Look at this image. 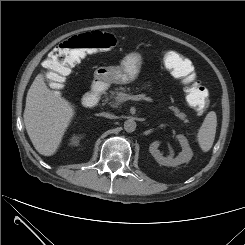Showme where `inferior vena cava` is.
<instances>
[{"instance_id": "obj_1", "label": "inferior vena cava", "mask_w": 245, "mask_h": 245, "mask_svg": "<svg viewBox=\"0 0 245 245\" xmlns=\"http://www.w3.org/2000/svg\"><path fill=\"white\" fill-rule=\"evenodd\" d=\"M102 115H103L104 117H106V118H109V119H114V118H115L114 115L109 114V113H102Z\"/></svg>"}]
</instances>
